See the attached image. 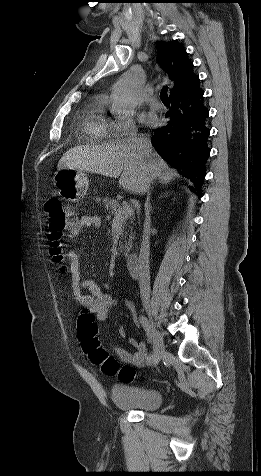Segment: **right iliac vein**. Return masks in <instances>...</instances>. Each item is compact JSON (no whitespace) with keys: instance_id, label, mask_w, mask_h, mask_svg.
<instances>
[{"instance_id":"63e3f726","label":"right iliac vein","mask_w":261,"mask_h":476,"mask_svg":"<svg viewBox=\"0 0 261 476\" xmlns=\"http://www.w3.org/2000/svg\"><path fill=\"white\" fill-rule=\"evenodd\" d=\"M148 326L151 329V333L149 334L152 338V345H153V365H157L161 358L165 355V345L163 343L162 336L160 332L156 329L153 322L151 320L148 321Z\"/></svg>"}]
</instances>
